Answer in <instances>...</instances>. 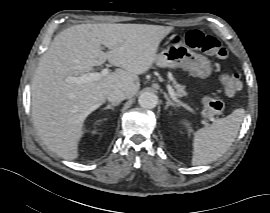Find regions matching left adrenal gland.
<instances>
[{
	"label": "left adrenal gland",
	"mask_w": 270,
	"mask_h": 213,
	"mask_svg": "<svg viewBox=\"0 0 270 213\" xmlns=\"http://www.w3.org/2000/svg\"><path fill=\"white\" fill-rule=\"evenodd\" d=\"M164 97L166 99V106H165V110L168 109L169 106H174L175 104L172 102V100L168 97V95L166 93H164Z\"/></svg>",
	"instance_id": "1"
}]
</instances>
